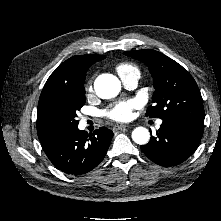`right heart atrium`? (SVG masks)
<instances>
[{
  "label": "right heart atrium",
  "instance_id": "1",
  "mask_svg": "<svg viewBox=\"0 0 221 221\" xmlns=\"http://www.w3.org/2000/svg\"><path fill=\"white\" fill-rule=\"evenodd\" d=\"M86 90H87V92H92V90H93L92 82H89V83L87 84Z\"/></svg>",
  "mask_w": 221,
  "mask_h": 221
}]
</instances>
